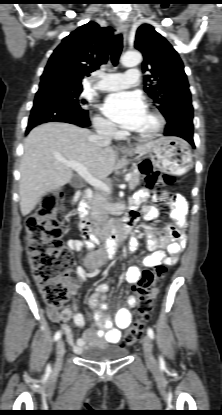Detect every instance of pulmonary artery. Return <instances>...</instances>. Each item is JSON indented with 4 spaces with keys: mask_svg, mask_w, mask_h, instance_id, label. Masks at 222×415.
<instances>
[{
    "mask_svg": "<svg viewBox=\"0 0 222 415\" xmlns=\"http://www.w3.org/2000/svg\"><path fill=\"white\" fill-rule=\"evenodd\" d=\"M139 77L140 73L137 69H131L125 73L106 74L94 87L104 92L116 91L137 85Z\"/></svg>",
    "mask_w": 222,
    "mask_h": 415,
    "instance_id": "obj_1",
    "label": "pulmonary artery"
}]
</instances>
